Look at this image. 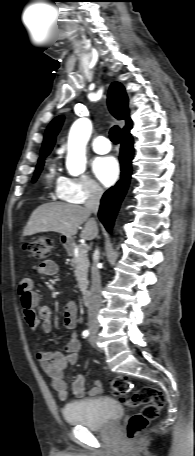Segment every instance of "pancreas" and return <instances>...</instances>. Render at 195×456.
Masks as SVG:
<instances>
[{"label":"pancreas","instance_id":"1","mask_svg":"<svg viewBox=\"0 0 195 456\" xmlns=\"http://www.w3.org/2000/svg\"><path fill=\"white\" fill-rule=\"evenodd\" d=\"M69 255L72 256L71 266L74 268V275L78 282V287L80 291L84 292L88 286L89 259L87 254L82 252L80 247L77 253L72 249L69 252Z\"/></svg>","mask_w":195,"mask_h":456}]
</instances>
